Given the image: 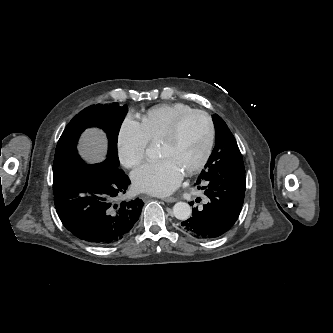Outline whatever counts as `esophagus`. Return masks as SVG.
<instances>
[{"label":"esophagus","instance_id":"34e87169","mask_svg":"<svg viewBox=\"0 0 333 333\" xmlns=\"http://www.w3.org/2000/svg\"><path fill=\"white\" fill-rule=\"evenodd\" d=\"M142 198L146 199V198H148V196L143 195ZM162 200H164L167 203H173V202L177 201V199L174 197H167V198H163Z\"/></svg>","mask_w":333,"mask_h":333}]
</instances>
